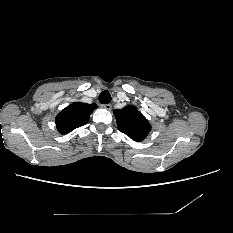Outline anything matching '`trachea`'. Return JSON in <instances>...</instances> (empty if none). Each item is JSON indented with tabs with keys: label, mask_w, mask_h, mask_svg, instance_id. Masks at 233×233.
<instances>
[{
	"label": "trachea",
	"mask_w": 233,
	"mask_h": 233,
	"mask_svg": "<svg viewBox=\"0 0 233 233\" xmlns=\"http://www.w3.org/2000/svg\"><path fill=\"white\" fill-rule=\"evenodd\" d=\"M99 101L102 104H108L111 102V94L108 91H103L99 95Z\"/></svg>",
	"instance_id": "obj_1"
}]
</instances>
